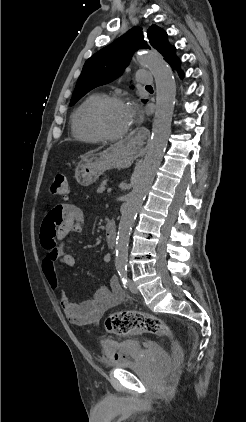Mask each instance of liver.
I'll return each instance as SVG.
<instances>
[{"label": "liver", "instance_id": "obj_1", "mask_svg": "<svg viewBox=\"0 0 246 422\" xmlns=\"http://www.w3.org/2000/svg\"><path fill=\"white\" fill-rule=\"evenodd\" d=\"M93 152H94V151L87 152L86 154L81 155L80 157L83 159V158H85V157H87V156H90Z\"/></svg>", "mask_w": 246, "mask_h": 422}]
</instances>
